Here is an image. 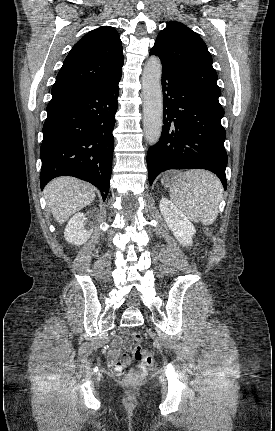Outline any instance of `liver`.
<instances>
[{"instance_id": "1", "label": "liver", "mask_w": 275, "mask_h": 431, "mask_svg": "<svg viewBox=\"0 0 275 431\" xmlns=\"http://www.w3.org/2000/svg\"><path fill=\"white\" fill-rule=\"evenodd\" d=\"M44 196L55 220L63 224L89 205L95 199V192L91 185L77 178L59 177L47 184Z\"/></svg>"}]
</instances>
